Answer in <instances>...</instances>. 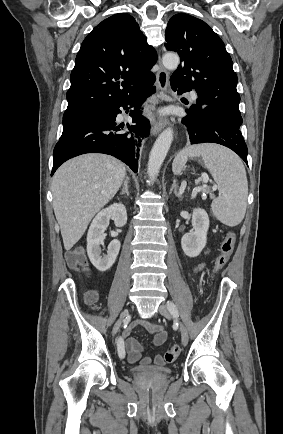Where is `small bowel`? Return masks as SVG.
I'll return each instance as SVG.
<instances>
[{
    "mask_svg": "<svg viewBox=\"0 0 283 434\" xmlns=\"http://www.w3.org/2000/svg\"><path fill=\"white\" fill-rule=\"evenodd\" d=\"M203 266H204L203 264H199L195 268V270L199 271L203 268ZM91 294L95 296L94 293ZM136 326L144 327L146 331L153 336V343L158 348H162V346L164 345L167 339L166 332L160 326L143 320H138L133 322L123 333L125 338L124 350L127 353V358L130 363H136L140 359L141 351H142L141 343L137 339L129 337L131 331ZM141 363L144 366L154 365L157 367H162L164 365V359L161 354H157L154 358L151 357L143 358Z\"/></svg>",
    "mask_w": 283,
    "mask_h": 434,
    "instance_id": "obj_1",
    "label": "small bowel"
}]
</instances>
